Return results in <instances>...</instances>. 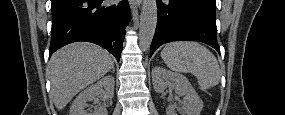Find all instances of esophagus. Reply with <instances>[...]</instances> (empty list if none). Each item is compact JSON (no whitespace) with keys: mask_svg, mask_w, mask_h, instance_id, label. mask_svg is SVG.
<instances>
[{"mask_svg":"<svg viewBox=\"0 0 285 115\" xmlns=\"http://www.w3.org/2000/svg\"><path fill=\"white\" fill-rule=\"evenodd\" d=\"M141 2L142 0H129L132 11H134L136 7L140 6Z\"/></svg>","mask_w":285,"mask_h":115,"instance_id":"obj_1","label":"esophagus"}]
</instances>
